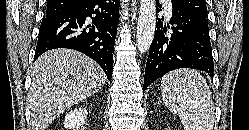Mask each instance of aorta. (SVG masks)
<instances>
[{"instance_id":"762f6f07","label":"aorta","mask_w":249,"mask_h":130,"mask_svg":"<svg viewBox=\"0 0 249 130\" xmlns=\"http://www.w3.org/2000/svg\"><path fill=\"white\" fill-rule=\"evenodd\" d=\"M156 28L155 0H141L137 23L136 46L140 54L146 53L152 44Z\"/></svg>"}]
</instances>
